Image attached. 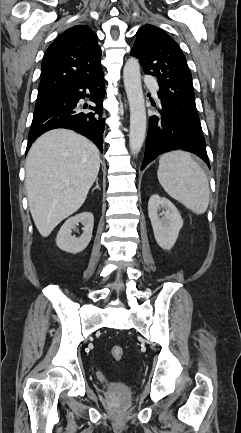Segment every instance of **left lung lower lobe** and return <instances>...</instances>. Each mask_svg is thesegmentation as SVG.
<instances>
[{
  "label": "left lung lower lobe",
  "instance_id": "0a47b994",
  "mask_svg": "<svg viewBox=\"0 0 241 433\" xmlns=\"http://www.w3.org/2000/svg\"><path fill=\"white\" fill-rule=\"evenodd\" d=\"M173 149L192 152L210 167L203 133L185 121L171 106L161 101L157 113L149 118L141 169L158 155Z\"/></svg>",
  "mask_w": 241,
  "mask_h": 433
}]
</instances>
